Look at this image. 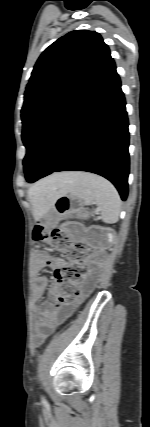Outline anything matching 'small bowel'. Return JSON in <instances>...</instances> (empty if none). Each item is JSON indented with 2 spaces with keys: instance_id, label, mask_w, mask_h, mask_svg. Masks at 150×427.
I'll use <instances>...</instances> for the list:
<instances>
[{
  "instance_id": "c3829d8e",
  "label": "small bowel",
  "mask_w": 150,
  "mask_h": 427,
  "mask_svg": "<svg viewBox=\"0 0 150 427\" xmlns=\"http://www.w3.org/2000/svg\"><path fill=\"white\" fill-rule=\"evenodd\" d=\"M63 261L60 258L50 257L46 254H37L33 260V268L35 273H39L45 267L59 268ZM48 279L45 276H38L36 278V297L41 298L48 286ZM71 311L68 306L61 310L58 314H53L49 306L45 305L38 309L37 320L38 325L35 331V345L39 346L42 342L50 336L55 326L64 320Z\"/></svg>"
}]
</instances>
